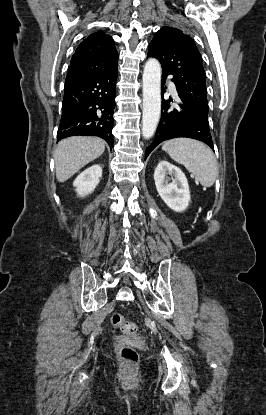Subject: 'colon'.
Masks as SVG:
<instances>
[{"instance_id":"5ec220e1","label":"colon","mask_w":266,"mask_h":415,"mask_svg":"<svg viewBox=\"0 0 266 415\" xmlns=\"http://www.w3.org/2000/svg\"><path fill=\"white\" fill-rule=\"evenodd\" d=\"M110 322L113 327L119 329L126 335H132L137 331V325L134 322L126 320L120 313H113L110 317ZM115 351L119 360L126 365L133 366L139 362L137 351L130 346L118 343L115 347Z\"/></svg>"}]
</instances>
